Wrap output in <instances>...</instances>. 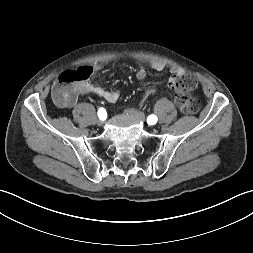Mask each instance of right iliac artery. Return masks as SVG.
Masks as SVG:
<instances>
[{
	"label": "right iliac artery",
	"instance_id": "obj_1",
	"mask_svg": "<svg viewBox=\"0 0 253 253\" xmlns=\"http://www.w3.org/2000/svg\"><path fill=\"white\" fill-rule=\"evenodd\" d=\"M98 117H99V119H101V120H105V119H106L107 113H106V110H105L104 108H100V109L98 110Z\"/></svg>",
	"mask_w": 253,
	"mask_h": 253
}]
</instances>
